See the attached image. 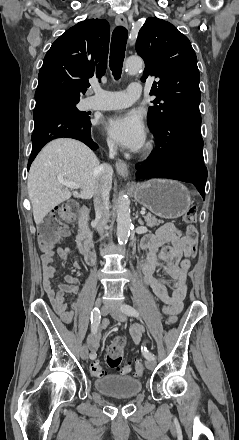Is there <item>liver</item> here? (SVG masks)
<instances>
[{
  "label": "liver",
  "mask_w": 239,
  "mask_h": 440,
  "mask_svg": "<svg viewBox=\"0 0 239 440\" xmlns=\"http://www.w3.org/2000/svg\"><path fill=\"white\" fill-rule=\"evenodd\" d=\"M100 162L82 142L58 138L44 146L29 172L27 188L36 226L52 208L71 196L91 200L94 196ZM58 178L79 184L80 192L63 190Z\"/></svg>",
  "instance_id": "obj_1"
}]
</instances>
